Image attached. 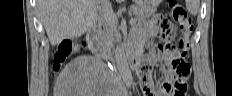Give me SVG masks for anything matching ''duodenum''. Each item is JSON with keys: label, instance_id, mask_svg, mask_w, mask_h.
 <instances>
[{"label": "duodenum", "instance_id": "duodenum-1", "mask_svg": "<svg viewBox=\"0 0 232 96\" xmlns=\"http://www.w3.org/2000/svg\"><path fill=\"white\" fill-rule=\"evenodd\" d=\"M99 33H100V26L95 24L92 26L89 31L87 32V41L89 44V49L91 53L99 60H104L105 52L99 43ZM119 53L126 59L129 67L132 70H136L138 68V52L135 48H120ZM111 63H114L111 60Z\"/></svg>", "mask_w": 232, "mask_h": 96}]
</instances>
